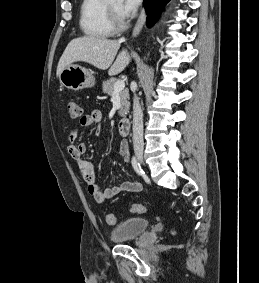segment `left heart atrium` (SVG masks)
Listing matches in <instances>:
<instances>
[{"mask_svg":"<svg viewBox=\"0 0 259 283\" xmlns=\"http://www.w3.org/2000/svg\"><path fill=\"white\" fill-rule=\"evenodd\" d=\"M140 3L141 0H124L122 6V13L124 15H130L138 8Z\"/></svg>","mask_w":259,"mask_h":283,"instance_id":"obj_1","label":"left heart atrium"}]
</instances>
